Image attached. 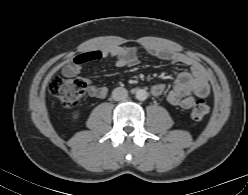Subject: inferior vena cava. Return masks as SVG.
<instances>
[{
	"mask_svg": "<svg viewBox=\"0 0 248 195\" xmlns=\"http://www.w3.org/2000/svg\"><path fill=\"white\" fill-rule=\"evenodd\" d=\"M128 96V91L125 88L117 87L112 91V98L115 101H121L126 99Z\"/></svg>",
	"mask_w": 248,
	"mask_h": 195,
	"instance_id": "602c4592",
	"label": "inferior vena cava"
}]
</instances>
